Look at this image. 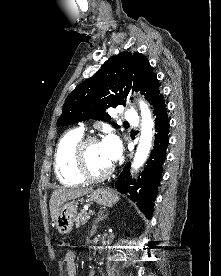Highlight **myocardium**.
Instances as JSON below:
<instances>
[{"label":"myocardium","mask_w":221,"mask_h":276,"mask_svg":"<svg viewBox=\"0 0 221 276\" xmlns=\"http://www.w3.org/2000/svg\"><path fill=\"white\" fill-rule=\"evenodd\" d=\"M99 142V139L95 136L82 137L75 147V165L78 173L87 181L99 182L108 178L114 171V166L111 165L107 170L102 173H93L87 162V147L91 143Z\"/></svg>","instance_id":"1"}]
</instances>
